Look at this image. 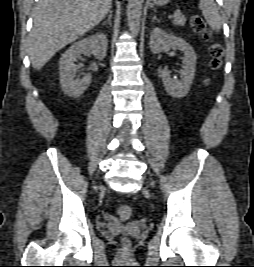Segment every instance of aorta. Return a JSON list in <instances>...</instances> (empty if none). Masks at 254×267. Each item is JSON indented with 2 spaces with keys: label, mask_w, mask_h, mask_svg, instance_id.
Instances as JSON below:
<instances>
[{
  "label": "aorta",
  "mask_w": 254,
  "mask_h": 267,
  "mask_svg": "<svg viewBox=\"0 0 254 267\" xmlns=\"http://www.w3.org/2000/svg\"><path fill=\"white\" fill-rule=\"evenodd\" d=\"M144 0H128L127 20L130 31L137 35L140 30L142 5Z\"/></svg>",
  "instance_id": "1"
}]
</instances>
